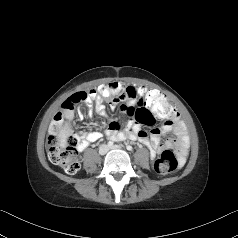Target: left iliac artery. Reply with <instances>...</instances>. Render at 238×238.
Returning <instances> with one entry per match:
<instances>
[{
    "instance_id": "obj_1",
    "label": "left iliac artery",
    "mask_w": 238,
    "mask_h": 238,
    "mask_svg": "<svg viewBox=\"0 0 238 238\" xmlns=\"http://www.w3.org/2000/svg\"><path fill=\"white\" fill-rule=\"evenodd\" d=\"M126 148H127V150H129V151H132V149H133L132 146H130V145H127Z\"/></svg>"
}]
</instances>
